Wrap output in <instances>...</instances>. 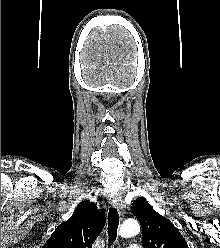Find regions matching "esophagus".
Masks as SVG:
<instances>
[{
	"label": "esophagus",
	"mask_w": 220,
	"mask_h": 248,
	"mask_svg": "<svg viewBox=\"0 0 220 248\" xmlns=\"http://www.w3.org/2000/svg\"><path fill=\"white\" fill-rule=\"evenodd\" d=\"M109 201L113 207H115L119 210L123 209V203H122V200L119 196H117V195L111 196Z\"/></svg>",
	"instance_id": "obj_1"
}]
</instances>
